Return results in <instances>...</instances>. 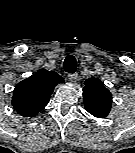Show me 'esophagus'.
<instances>
[{"label":"esophagus","mask_w":135,"mask_h":153,"mask_svg":"<svg viewBox=\"0 0 135 153\" xmlns=\"http://www.w3.org/2000/svg\"><path fill=\"white\" fill-rule=\"evenodd\" d=\"M77 73H70L69 75H68V78H69V80L71 81V82H74L75 80H76V78H77Z\"/></svg>","instance_id":"obj_1"}]
</instances>
